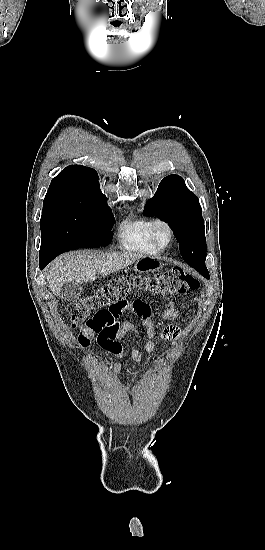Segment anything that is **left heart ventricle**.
I'll list each match as a JSON object with an SVG mask.
<instances>
[{"label":"left heart ventricle","mask_w":265,"mask_h":550,"mask_svg":"<svg viewBox=\"0 0 265 550\" xmlns=\"http://www.w3.org/2000/svg\"><path fill=\"white\" fill-rule=\"evenodd\" d=\"M157 238L162 244H166L168 242V233L165 229H159L157 231Z\"/></svg>","instance_id":"left-heart-ventricle-1"}]
</instances>
